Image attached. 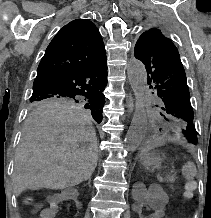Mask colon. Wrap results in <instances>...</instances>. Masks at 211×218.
<instances>
[{
    "instance_id": "1",
    "label": "colon",
    "mask_w": 211,
    "mask_h": 218,
    "mask_svg": "<svg viewBox=\"0 0 211 218\" xmlns=\"http://www.w3.org/2000/svg\"><path fill=\"white\" fill-rule=\"evenodd\" d=\"M194 189H195V184H194L193 182H190V183L187 185V187H186V193H185V195H186L187 197H191V196H192V193H193V191H194Z\"/></svg>"
}]
</instances>
